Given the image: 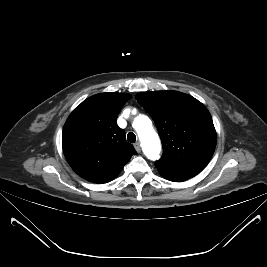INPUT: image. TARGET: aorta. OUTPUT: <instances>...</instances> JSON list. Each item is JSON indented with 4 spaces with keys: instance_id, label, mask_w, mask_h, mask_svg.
Masks as SVG:
<instances>
[{
    "instance_id": "1",
    "label": "aorta",
    "mask_w": 267,
    "mask_h": 267,
    "mask_svg": "<svg viewBox=\"0 0 267 267\" xmlns=\"http://www.w3.org/2000/svg\"><path fill=\"white\" fill-rule=\"evenodd\" d=\"M132 126L139 136L145 156L153 160L158 159L161 144L150 118L146 115L139 114L134 118Z\"/></svg>"
}]
</instances>
